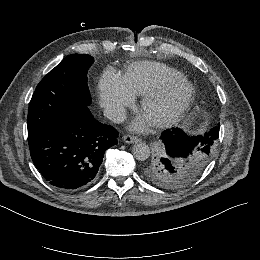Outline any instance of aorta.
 Masks as SVG:
<instances>
[{"label":"aorta","mask_w":260,"mask_h":260,"mask_svg":"<svg viewBox=\"0 0 260 260\" xmlns=\"http://www.w3.org/2000/svg\"><path fill=\"white\" fill-rule=\"evenodd\" d=\"M132 154L135 159L144 161L150 156V148L144 142L136 143L132 147Z\"/></svg>","instance_id":"762f6f07"}]
</instances>
